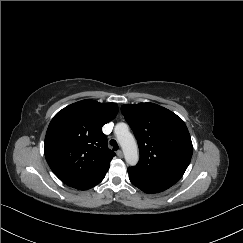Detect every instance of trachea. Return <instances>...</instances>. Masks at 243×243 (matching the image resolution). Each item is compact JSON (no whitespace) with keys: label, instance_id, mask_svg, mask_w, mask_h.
<instances>
[{"label":"trachea","instance_id":"3493384b","mask_svg":"<svg viewBox=\"0 0 243 243\" xmlns=\"http://www.w3.org/2000/svg\"><path fill=\"white\" fill-rule=\"evenodd\" d=\"M110 145H111V148H112L113 151H117L118 148H119L116 140H114V139L110 140Z\"/></svg>","mask_w":243,"mask_h":243}]
</instances>
